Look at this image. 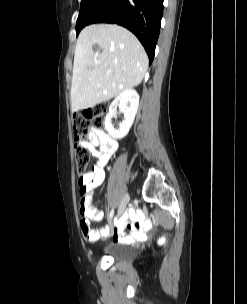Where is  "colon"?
<instances>
[{"label":"colon","instance_id":"obj_1","mask_svg":"<svg viewBox=\"0 0 247 304\" xmlns=\"http://www.w3.org/2000/svg\"><path fill=\"white\" fill-rule=\"evenodd\" d=\"M107 110L108 105L106 103H99L73 116V131L75 136L74 159L77 172L81 177L84 175L83 173L89 164L90 154L88 149L83 145V139L89 134L91 128L103 126ZM84 197V188L80 187V203L82 208H84ZM158 238V242H161V240H168L169 235L168 233H159Z\"/></svg>","mask_w":247,"mask_h":304}]
</instances>
